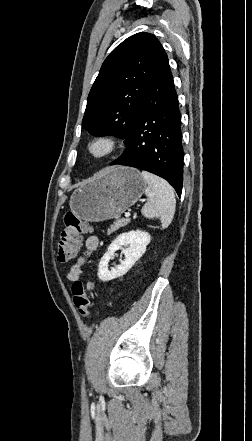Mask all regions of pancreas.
Here are the masks:
<instances>
[{"mask_svg":"<svg viewBox=\"0 0 252 441\" xmlns=\"http://www.w3.org/2000/svg\"><path fill=\"white\" fill-rule=\"evenodd\" d=\"M127 223H128V221H127L126 219H119V220L115 221V222L110 226V228L107 230V233H108V234H111V233L117 231L118 229H120V228L126 226Z\"/></svg>","mask_w":252,"mask_h":441,"instance_id":"cf45deb5","label":"pancreas"}]
</instances>
